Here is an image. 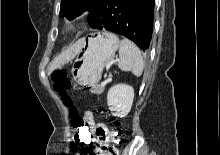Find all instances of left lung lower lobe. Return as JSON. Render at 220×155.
<instances>
[{"label": "left lung lower lobe", "mask_w": 220, "mask_h": 155, "mask_svg": "<svg viewBox=\"0 0 220 155\" xmlns=\"http://www.w3.org/2000/svg\"><path fill=\"white\" fill-rule=\"evenodd\" d=\"M154 0H99L90 10L89 26L132 40L146 50L152 37Z\"/></svg>", "instance_id": "obj_1"}]
</instances>
